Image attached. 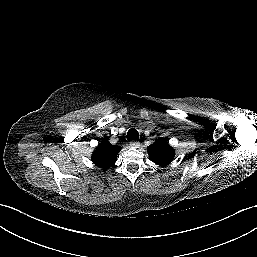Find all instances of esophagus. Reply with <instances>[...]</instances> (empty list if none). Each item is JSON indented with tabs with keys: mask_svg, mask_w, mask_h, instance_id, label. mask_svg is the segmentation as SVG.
Here are the masks:
<instances>
[{
	"mask_svg": "<svg viewBox=\"0 0 257 257\" xmlns=\"http://www.w3.org/2000/svg\"><path fill=\"white\" fill-rule=\"evenodd\" d=\"M129 145L131 148H139L140 147V143L138 141H133Z\"/></svg>",
	"mask_w": 257,
	"mask_h": 257,
	"instance_id": "esophagus-1",
	"label": "esophagus"
}]
</instances>
